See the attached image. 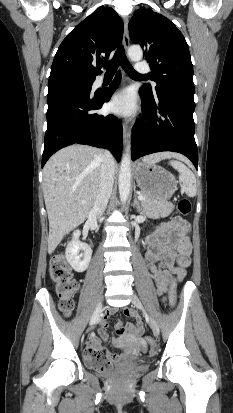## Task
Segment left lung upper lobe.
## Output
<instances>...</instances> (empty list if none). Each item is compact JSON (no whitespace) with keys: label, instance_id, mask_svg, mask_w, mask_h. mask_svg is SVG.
Returning a JSON list of instances; mask_svg holds the SVG:
<instances>
[{"label":"left lung upper lobe","instance_id":"left-lung-upper-lobe-1","mask_svg":"<svg viewBox=\"0 0 233 413\" xmlns=\"http://www.w3.org/2000/svg\"><path fill=\"white\" fill-rule=\"evenodd\" d=\"M129 34L132 41L145 50L152 79L157 83L155 92L149 85L141 89L150 97L164 89L193 98L195 88L189 48L175 24L163 15L143 7L131 18Z\"/></svg>","mask_w":233,"mask_h":413}]
</instances>
